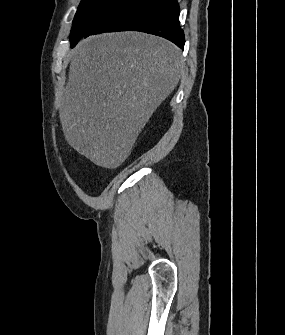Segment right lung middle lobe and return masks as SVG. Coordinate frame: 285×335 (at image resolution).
<instances>
[{
    "label": "right lung middle lobe",
    "mask_w": 285,
    "mask_h": 335,
    "mask_svg": "<svg viewBox=\"0 0 285 335\" xmlns=\"http://www.w3.org/2000/svg\"><path fill=\"white\" fill-rule=\"evenodd\" d=\"M119 0H81L73 20L70 40L77 43L90 26L108 12Z\"/></svg>",
    "instance_id": "dd1d6c3e"
}]
</instances>
